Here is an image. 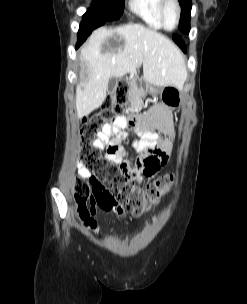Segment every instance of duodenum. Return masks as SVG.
Returning a JSON list of instances; mask_svg holds the SVG:
<instances>
[{
  "mask_svg": "<svg viewBox=\"0 0 247 304\" xmlns=\"http://www.w3.org/2000/svg\"><path fill=\"white\" fill-rule=\"evenodd\" d=\"M141 86H149V81H144L143 78H134L133 85L129 86V89H141Z\"/></svg>",
  "mask_w": 247,
  "mask_h": 304,
  "instance_id": "1",
  "label": "duodenum"
}]
</instances>
